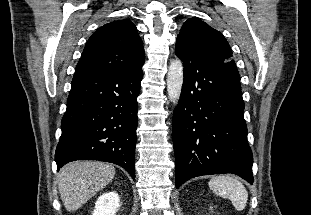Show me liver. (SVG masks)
<instances>
[{
	"mask_svg": "<svg viewBox=\"0 0 311 215\" xmlns=\"http://www.w3.org/2000/svg\"><path fill=\"white\" fill-rule=\"evenodd\" d=\"M114 176V166L103 162L75 161L64 166L58 174V189L66 210H78Z\"/></svg>",
	"mask_w": 311,
	"mask_h": 215,
	"instance_id": "6515ba94",
	"label": "liver"
}]
</instances>
